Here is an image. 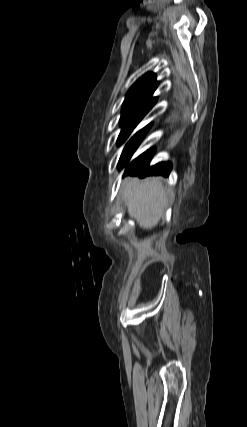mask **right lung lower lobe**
I'll use <instances>...</instances> for the list:
<instances>
[{"label": "right lung lower lobe", "instance_id": "obj_1", "mask_svg": "<svg viewBox=\"0 0 247 427\" xmlns=\"http://www.w3.org/2000/svg\"><path fill=\"white\" fill-rule=\"evenodd\" d=\"M149 128H150V125L143 128L141 131L136 133L127 143L118 163L119 169H121L122 167H125L128 164L131 156L140 145L141 141L143 140L144 136L148 132ZM154 153H155V149L152 148L147 150L145 153L141 154L135 160H133L126 168L125 175L130 174L133 176H140V177H143L146 175L168 176L172 168L171 163L162 162L151 167L149 166V162Z\"/></svg>", "mask_w": 247, "mask_h": 427}]
</instances>
